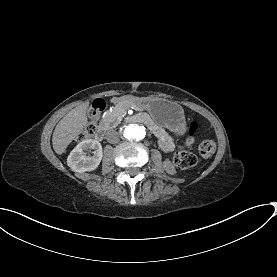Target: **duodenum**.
Returning a JSON list of instances; mask_svg holds the SVG:
<instances>
[{
    "label": "duodenum",
    "mask_w": 277,
    "mask_h": 277,
    "mask_svg": "<svg viewBox=\"0 0 277 277\" xmlns=\"http://www.w3.org/2000/svg\"><path fill=\"white\" fill-rule=\"evenodd\" d=\"M122 98H115V100H121ZM128 124H143L148 127L154 134H157L160 131V127L153 121V119L145 114L139 113L134 114L126 119ZM107 128L104 125H100L96 132V139L102 140L106 134Z\"/></svg>",
    "instance_id": "obj_1"
}]
</instances>
